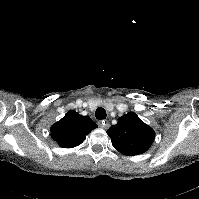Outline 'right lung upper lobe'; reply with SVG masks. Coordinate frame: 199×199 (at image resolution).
<instances>
[{
    "mask_svg": "<svg viewBox=\"0 0 199 199\" xmlns=\"http://www.w3.org/2000/svg\"><path fill=\"white\" fill-rule=\"evenodd\" d=\"M96 127L90 117L71 110L51 127V136L61 147L71 148L80 145Z\"/></svg>",
    "mask_w": 199,
    "mask_h": 199,
    "instance_id": "cb5924a9",
    "label": "right lung upper lobe"
}]
</instances>
